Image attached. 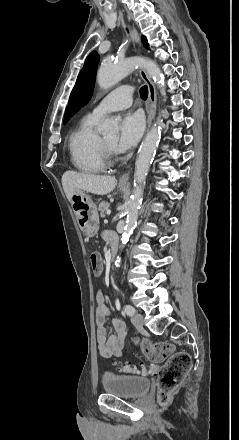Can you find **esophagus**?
<instances>
[{
	"label": "esophagus",
	"mask_w": 239,
	"mask_h": 440,
	"mask_svg": "<svg viewBox=\"0 0 239 440\" xmlns=\"http://www.w3.org/2000/svg\"><path fill=\"white\" fill-rule=\"evenodd\" d=\"M131 33H132V40L134 44H137L140 42V37L138 35L137 30L133 27H131ZM139 73L144 80V82L148 85V92H149V102H150V110L148 112L147 116V125L148 128H150L152 120L154 118L155 112H156V90L155 86L150 79V77L147 75V72L144 68L139 69ZM129 181V171L125 172L120 178L119 183H128Z\"/></svg>",
	"instance_id": "esophagus-1"
}]
</instances>
